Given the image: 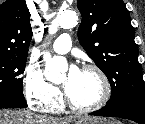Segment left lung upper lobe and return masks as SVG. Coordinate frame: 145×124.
Returning a JSON list of instances; mask_svg holds the SVG:
<instances>
[{"instance_id":"1","label":"left lung upper lobe","mask_w":145,"mask_h":124,"mask_svg":"<svg viewBox=\"0 0 145 124\" xmlns=\"http://www.w3.org/2000/svg\"><path fill=\"white\" fill-rule=\"evenodd\" d=\"M82 22L80 44L111 84L107 105L133 101L145 105L138 46L129 12L122 0H78Z\"/></svg>"}]
</instances>
